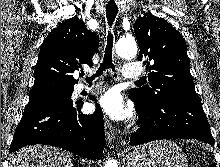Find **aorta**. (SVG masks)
Returning <instances> with one entry per match:
<instances>
[{"instance_id":"aorta-1","label":"aorta","mask_w":220,"mask_h":167,"mask_svg":"<svg viewBox=\"0 0 220 167\" xmlns=\"http://www.w3.org/2000/svg\"><path fill=\"white\" fill-rule=\"evenodd\" d=\"M116 54L122 58L134 57L137 53V45L132 37L122 38L116 43ZM105 167H118L117 161L108 159Z\"/></svg>"}]
</instances>
